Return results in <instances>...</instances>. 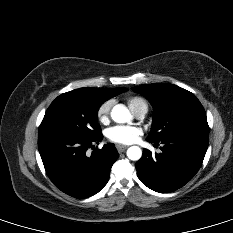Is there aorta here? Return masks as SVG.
Here are the masks:
<instances>
[{"label": "aorta", "mask_w": 233, "mask_h": 233, "mask_svg": "<svg viewBox=\"0 0 233 233\" xmlns=\"http://www.w3.org/2000/svg\"><path fill=\"white\" fill-rule=\"evenodd\" d=\"M112 119L117 123H128L132 120L130 111L122 104L115 105L111 111ZM142 151L138 146H131L127 149V157L137 161L141 158Z\"/></svg>", "instance_id": "762f6f07"}]
</instances>
